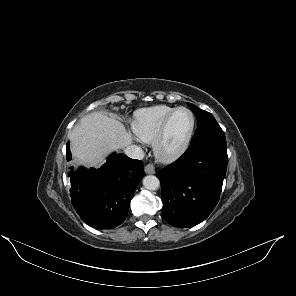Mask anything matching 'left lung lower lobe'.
Listing matches in <instances>:
<instances>
[{"label":"left lung lower lobe","mask_w":296,"mask_h":296,"mask_svg":"<svg viewBox=\"0 0 296 296\" xmlns=\"http://www.w3.org/2000/svg\"><path fill=\"white\" fill-rule=\"evenodd\" d=\"M227 160L226 139H216L189 147L161 169L163 218L180 228L205 220L219 200Z\"/></svg>","instance_id":"obj_1"}]
</instances>
